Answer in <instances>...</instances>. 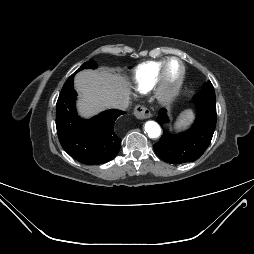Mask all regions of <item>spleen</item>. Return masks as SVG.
<instances>
[{
  "mask_svg": "<svg viewBox=\"0 0 254 254\" xmlns=\"http://www.w3.org/2000/svg\"><path fill=\"white\" fill-rule=\"evenodd\" d=\"M194 114L191 109L183 111L177 118L174 128L176 131L184 130L193 121Z\"/></svg>",
  "mask_w": 254,
  "mask_h": 254,
  "instance_id": "obj_1",
  "label": "spleen"
}]
</instances>
